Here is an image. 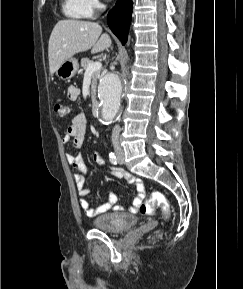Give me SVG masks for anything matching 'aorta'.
Segmentation results:
<instances>
[{
  "label": "aorta",
  "instance_id": "1",
  "mask_svg": "<svg viewBox=\"0 0 243 289\" xmlns=\"http://www.w3.org/2000/svg\"><path fill=\"white\" fill-rule=\"evenodd\" d=\"M123 85L116 73L106 74L98 88L101 118L110 124L117 116L120 108Z\"/></svg>",
  "mask_w": 243,
  "mask_h": 289
}]
</instances>
